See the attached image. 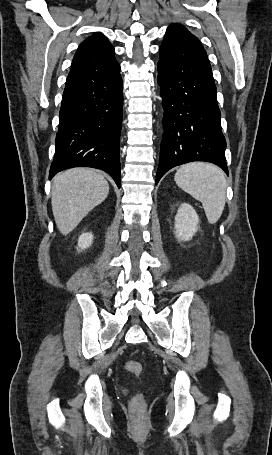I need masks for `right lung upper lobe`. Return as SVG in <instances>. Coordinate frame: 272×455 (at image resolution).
I'll use <instances>...</instances> for the list:
<instances>
[{
  "mask_svg": "<svg viewBox=\"0 0 272 455\" xmlns=\"http://www.w3.org/2000/svg\"><path fill=\"white\" fill-rule=\"evenodd\" d=\"M115 50L102 33H95L80 44L73 58L65 89L79 86L120 71Z\"/></svg>",
  "mask_w": 272,
  "mask_h": 455,
  "instance_id": "obj_1",
  "label": "right lung upper lobe"
}]
</instances>
